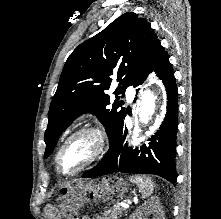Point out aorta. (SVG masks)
Listing matches in <instances>:
<instances>
[{
	"instance_id": "aorta-1",
	"label": "aorta",
	"mask_w": 221,
	"mask_h": 219,
	"mask_svg": "<svg viewBox=\"0 0 221 219\" xmlns=\"http://www.w3.org/2000/svg\"><path fill=\"white\" fill-rule=\"evenodd\" d=\"M161 99L162 92L159 89L146 88L142 92L138 112L141 126H147L153 120Z\"/></svg>"
}]
</instances>
